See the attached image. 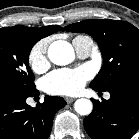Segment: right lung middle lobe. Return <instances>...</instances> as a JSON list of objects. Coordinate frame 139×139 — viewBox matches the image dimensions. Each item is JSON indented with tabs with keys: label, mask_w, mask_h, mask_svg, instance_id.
I'll list each match as a JSON object with an SVG mask.
<instances>
[{
	"label": "right lung middle lobe",
	"mask_w": 139,
	"mask_h": 139,
	"mask_svg": "<svg viewBox=\"0 0 139 139\" xmlns=\"http://www.w3.org/2000/svg\"><path fill=\"white\" fill-rule=\"evenodd\" d=\"M39 40L28 33L0 29V88L23 93L36 91L28 59L33 45Z\"/></svg>",
	"instance_id": "1"
}]
</instances>
